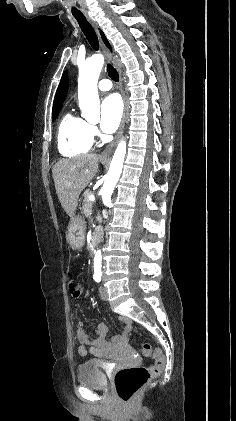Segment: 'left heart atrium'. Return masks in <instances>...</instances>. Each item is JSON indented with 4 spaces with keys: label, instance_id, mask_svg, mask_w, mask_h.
<instances>
[{
    "label": "left heart atrium",
    "instance_id": "39dd6f15",
    "mask_svg": "<svg viewBox=\"0 0 236 421\" xmlns=\"http://www.w3.org/2000/svg\"><path fill=\"white\" fill-rule=\"evenodd\" d=\"M122 105L117 95L110 94L102 102L100 127L105 133L114 132L120 124Z\"/></svg>",
    "mask_w": 236,
    "mask_h": 421
}]
</instances>
